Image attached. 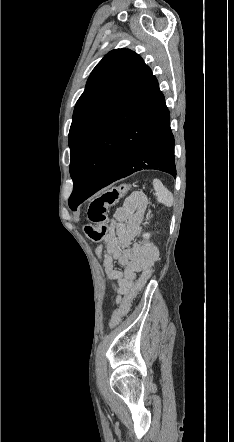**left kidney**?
I'll return each mask as SVG.
<instances>
[{
    "instance_id": "obj_1",
    "label": "left kidney",
    "mask_w": 234,
    "mask_h": 442,
    "mask_svg": "<svg viewBox=\"0 0 234 442\" xmlns=\"http://www.w3.org/2000/svg\"><path fill=\"white\" fill-rule=\"evenodd\" d=\"M143 236H144L145 238H149V237H150V234L147 233V234H144Z\"/></svg>"
}]
</instances>
